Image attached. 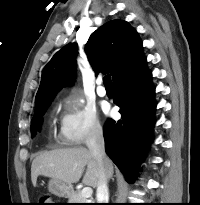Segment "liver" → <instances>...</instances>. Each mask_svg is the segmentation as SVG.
Listing matches in <instances>:
<instances>
[{"label": "liver", "instance_id": "obj_1", "mask_svg": "<svg viewBox=\"0 0 200 205\" xmlns=\"http://www.w3.org/2000/svg\"><path fill=\"white\" fill-rule=\"evenodd\" d=\"M86 173L82 183L96 188L100 178V168L96 158L87 148H66L43 152L35 157L31 165V180L36 184L39 175L58 179L72 186ZM107 178L113 175V165L107 159L104 162Z\"/></svg>", "mask_w": 200, "mask_h": 205}]
</instances>
